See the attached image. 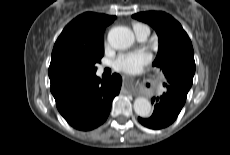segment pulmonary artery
I'll return each instance as SVG.
<instances>
[{"instance_id":"1","label":"pulmonary artery","mask_w":230,"mask_h":155,"mask_svg":"<svg viewBox=\"0 0 230 155\" xmlns=\"http://www.w3.org/2000/svg\"><path fill=\"white\" fill-rule=\"evenodd\" d=\"M136 37L140 41H144L149 35V28H143L135 33Z\"/></svg>"}]
</instances>
